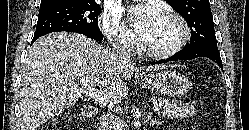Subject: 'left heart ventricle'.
Here are the masks:
<instances>
[{"label":"left heart ventricle","instance_id":"1","mask_svg":"<svg viewBox=\"0 0 249 130\" xmlns=\"http://www.w3.org/2000/svg\"><path fill=\"white\" fill-rule=\"evenodd\" d=\"M180 32V26L175 20L162 15L145 45L153 50L166 49L177 41Z\"/></svg>","mask_w":249,"mask_h":130}]
</instances>
